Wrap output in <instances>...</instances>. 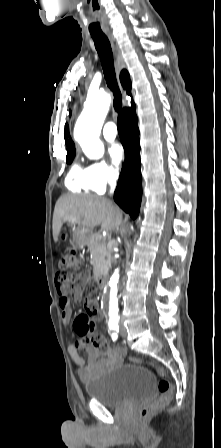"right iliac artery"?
Listing matches in <instances>:
<instances>
[{"instance_id": "1", "label": "right iliac artery", "mask_w": 221, "mask_h": 448, "mask_svg": "<svg viewBox=\"0 0 221 448\" xmlns=\"http://www.w3.org/2000/svg\"><path fill=\"white\" fill-rule=\"evenodd\" d=\"M118 321H119L118 316L117 317L110 316V319L108 322L110 330L115 331V332L119 331Z\"/></svg>"}]
</instances>
